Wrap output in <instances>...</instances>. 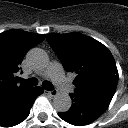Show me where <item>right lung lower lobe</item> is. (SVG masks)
<instances>
[{"label": "right lung lower lobe", "mask_w": 128, "mask_h": 128, "mask_svg": "<svg viewBox=\"0 0 128 128\" xmlns=\"http://www.w3.org/2000/svg\"><path fill=\"white\" fill-rule=\"evenodd\" d=\"M43 93L41 87H26L10 97L0 107V126L12 127L24 121L37 96Z\"/></svg>", "instance_id": "obj_1"}]
</instances>
